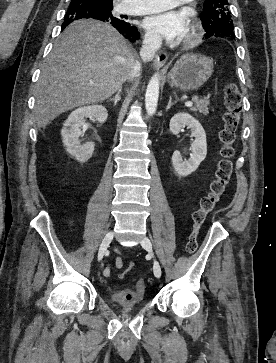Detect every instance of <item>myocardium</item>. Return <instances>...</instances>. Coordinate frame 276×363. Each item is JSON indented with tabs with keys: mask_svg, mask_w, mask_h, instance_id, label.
I'll use <instances>...</instances> for the list:
<instances>
[{
	"mask_svg": "<svg viewBox=\"0 0 276 363\" xmlns=\"http://www.w3.org/2000/svg\"><path fill=\"white\" fill-rule=\"evenodd\" d=\"M202 37V28L196 20L191 22L187 36L183 41V45L186 47H192L199 43Z\"/></svg>",
	"mask_w": 276,
	"mask_h": 363,
	"instance_id": "obj_1",
	"label": "myocardium"
}]
</instances>
